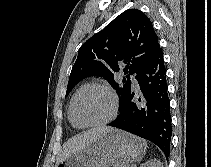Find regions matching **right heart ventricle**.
<instances>
[{"label": "right heart ventricle", "mask_w": 211, "mask_h": 167, "mask_svg": "<svg viewBox=\"0 0 211 167\" xmlns=\"http://www.w3.org/2000/svg\"><path fill=\"white\" fill-rule=\"evenodd\" d=\"M73 99V98H72ZM72 101V100H71ZM70 105H71V102H70ZM68 118H69V121H70V123L72 124V126L73 127H75V128H78L73 122H72V120H71V118H70V106H69V110H68Z\"/></svg>", "instance_id": "1"}]
</instances>
